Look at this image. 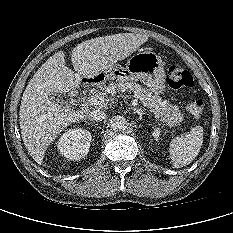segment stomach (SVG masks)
I'll list each match as a JSON object with an SVG mask.
<instances>
[{"label":"stomach","instance_id":"stomach-1","mask_svg":"<svg viewBox=\"0 0 233 233\" xmlns=\"http://www.w3.org/2000/svg\"><path fill=\"white\" fill-rule=\"evenodd\" d=\"M104 79H116L120 82L143 80L155 95H161L166 88V74L160 57L143 50L129 58L125 66L110 65L101 73Z\"/></svg>","mask_w":233,"mask_h":233}]
</instances>
